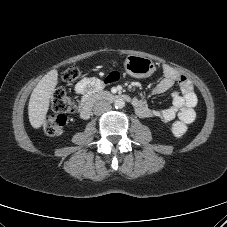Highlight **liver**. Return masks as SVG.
<instances>
[{"instance_id":"1","label":"liver","mask_w":227,"mask_h":227,"mask_svg":"<svg viewBox=\"0 0 227 227\" xmlns=\"http://www.w3.org/2000/svg\"><path fill=\"white\" fill-rule=\"evenodd\" d=\"M58 83V71H49L36 85L28 104L29 121L33 128H40L49 109V103Z\"/></svg>"}]
</instances>
